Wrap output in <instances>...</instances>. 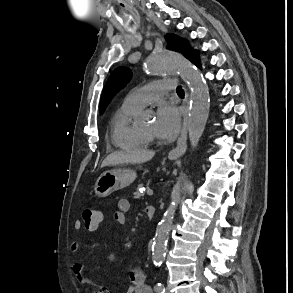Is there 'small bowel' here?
Here are the masks:
<instances>
[{"mask_svg": "<svg viewBox=\"0 0 293 293\" xmlns=\"http://www.w3.org/2000/svg\"><path fill=\"white\" fill-rule=\"evenodd\" d=\"M130 202L127 199H121L118 202L117 210L113 213V219L118 224H124L126 222V214L130 210ZM103 220V216L101 214V221ZM85 227V226H84ZM74 228L76 230H80L82 228V223L80 221H76L74 224ZM98 227L94 229H89L85 227L87 231L94 232ZM80 249L79 242H73L71 244L72 252H77ZM73 273L77 281L84 285L93 286L89 278L86 276L85 270L80 263H75L73 265ZM128 278L130 281L129 286L125 289L124 293H152L150 286L146 283V275L141 269H132L129 271ZM93 293H106L100 287H93Z\"/></svg>", "mask_w": 293, "mask_h": 293, "instance_id": "obj_1", "label": "small bowel"}]
</instances>
